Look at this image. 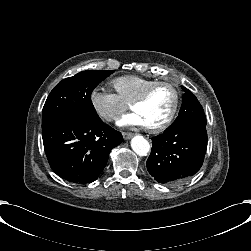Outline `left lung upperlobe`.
<instances>
[{"instance_id": "left-lung-upper-lobe-1", "label": "left lung upper lobe", "mask_w": 251, "mask_h": 251, "mask_svg": "<svg viewBox=\"0 0 251 251\" xmlns=\"http://www.w3.org/2000/svg\"><path fill=\"white\" fill-rule=\"evenodd\" d=\"M184 94L182 96V106L175 122L168 128H174L187 123L206 124V116L204 110L195 97V95L187 88L181 86Z\"/></svg>"}]
</instances>
